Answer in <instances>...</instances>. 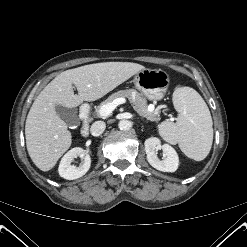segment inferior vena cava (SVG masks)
<instances>
[{
    "label": "inferior vena cava",
    "mask_w": 247,
    "mask_h": 247,
    "mask_svg": "<svg viewBox=\"0 0 247 247\" xmlns=\"http://www.w3.org/2000/svg\"><path fill=\"white\" fill-rule=\"evenodd\" d=\"M106 128V124L103 121H96L91 125L90 132L93 136L101 135Z\"/></svg>",
    "instance_id": "602c4592"
}]
</instances>
